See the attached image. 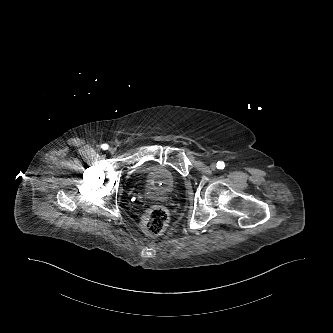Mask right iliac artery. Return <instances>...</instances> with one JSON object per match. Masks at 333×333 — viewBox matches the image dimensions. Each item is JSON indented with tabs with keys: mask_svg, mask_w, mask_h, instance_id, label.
Returning <instances> with one entry per match:
<instances>
[{
	"mask_svg": "<svg viewBox=\"0 0 333 333\" xmlns=\"http://www.w3.org/2000/svg\"><path fill=\"white\" fill-rule=\"evenodd\" d=\"M108 147H109V146H108L106 143L101 145V148H102L103 150H107Z\"/></svg>",
	"mask_w": 333,
	"mask_h": 333,
	"instance_id": "82829eb1",
	"label": "right iliac artery"
}]
</instances>
